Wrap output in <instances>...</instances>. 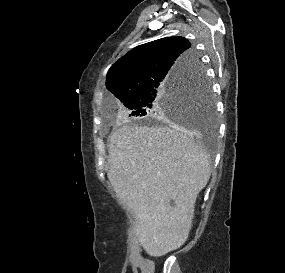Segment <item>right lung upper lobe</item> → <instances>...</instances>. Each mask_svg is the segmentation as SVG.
Returning <instances> with one entry per match:
<instances>
[{
	"label": "right lung upper lobe",
	"instance_id": "cb5924a9",
	"mask_svg": "<svg viewBox=\"0 0 285 273\" xmlns=\"http://www.w3.org/2000/svg\"><path fill=\"white\" fill-rule=\"evenodd\" d=\"M198 67L199 60L187 39L162 38L137 46L120 58L108 71L106 87L126 103Z\"/></svg>",
	"mask_w": 285,
	"mask_h": 273
}]
</instances>
